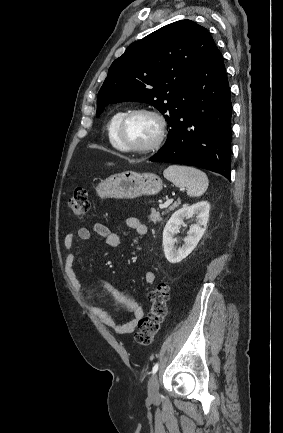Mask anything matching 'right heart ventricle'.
Wrapping results in <instances>:
<instances>
[{
	"instance_id": "right-heart-ventricle-1",
	"label": "right heart ventricle",
	"mask_w": 283,
	"mask_h": 433,
	"mask_svg": "<svg viewBox=\"0 0 283 433\" xmlns=\"http://www.w3.org/2000/svg\"><path fill=\"white\" fill-rule=\"evenodd\" d=\"M127 110L122 109V110H118L116 112H114L111 117L108 120L107 123V136H108V140L111 143V145L118 151H122L117 143L116 140V128L118 125V122L120 121V119L122 118V116L126 113Z\"/></svg>"
}]
</instances>
